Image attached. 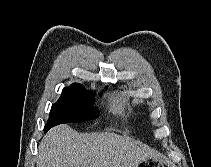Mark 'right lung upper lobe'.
Instances as JSON below:
<instances>
[{
    "label": "right lung upper lobe",
    "instance_id": "cb5924a9",
    "mask_svg": "<svg viewBox=\"0 0 211 167\" xmlns=\"http://www.w3.org/2000/svg\"><path fill=\"white\" fill-rule=\"evenodd\" d=\"M77 85H80V84L74 83V84H72L70 87H72V86H77ZM67 88H69V87H67ZM64 89H66V88H64Z\"/></svg>",
    "mask_w": 211,
    "mask_h": 167
}]
</instances>
